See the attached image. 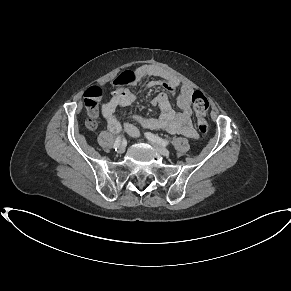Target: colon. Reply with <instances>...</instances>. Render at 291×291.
I'll list each match as a JSON object with an SVG mask.
<instances>
[{
	"label": "colon",
	"mask_w": 291,
	"mask_h": 291,
	"mask_svg": "<svg viewBox=\"0 0 291 291\" xmlns=\"http://www.w3.org/2000/svg\"><path fill=\"white\" fill-rule=\"evenodd\" d=\"M101 96L102 90L98 87L93 86L86 91L84 105L89 115L86 127L90 130H94L97 126L98 100ZM192 102L197 117L198 129L201 133L205 134L209 131V122L206 117L209 109V101L202 92L195 91L192 94Z\"/></svg>",
	"instance_id": "obj_1"
}]
</instances>
